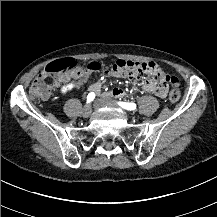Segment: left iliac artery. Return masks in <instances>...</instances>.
<instances>
[{"instance_id":"left-iliac-artery-1","label":"left iliac artery","mask_w":217,"mask_h":217,"mask_svg":"<svg viewBox=\"0 0 217 217\" xmlns=\"http://www.w3.org/2000/svg\"><path fill=\"white\" fill-rule=\"evenodd\" d=\"M118 104H119L122 108H124V109H126V110L132 111V110H135V109H136V104H135V103H132V102H130V103H127V102H118Z\"/></svg>"}]
</instances>
